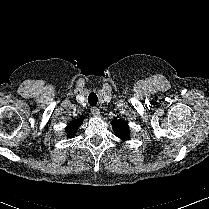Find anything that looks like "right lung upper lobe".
<instances>
[{
	"label": "right lung upper lobe",
	"mask_w": 209,
	"mask_h": 209,
	"mask_svg": "<svg viewBox=\"0 0 209 209\" xmlns=\"http://www.w3.org/2000/svg\"><path fill=\"white\" fill-rule=\"evenodd\" d=\"M84 118H85L84 116H81L80 118L72 121L66 127V133H67L68 137H73V135L75 134V132L77 131V129L79 128V126H81Z\"/></svg>",
	"instance_id": "right-lung-upper-lobe-1"
}]
</instances>
